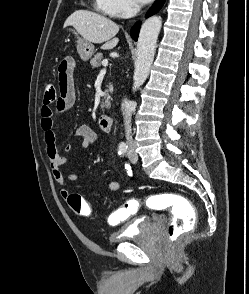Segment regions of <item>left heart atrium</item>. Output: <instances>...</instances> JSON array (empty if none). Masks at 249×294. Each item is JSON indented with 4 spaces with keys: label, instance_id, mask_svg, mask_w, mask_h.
Here are the masks:
<instances>
[{
    "label": "left heart atrium",
    "instance_id": "39dd6f15",
    "mask_svg": "<svg viewBox=\"0 0 249 294\" xmlns=\"http://www.w3.org/2000/svg\"><path fill=\"white\" fill-rule=\"evenodd\" d=\"M138 1H140V2H142V3H147V2H149V1H151V0H138Z\"/></svg>",
    "mask_w": 249,
    "mask_h": 294
}]
</instances>
